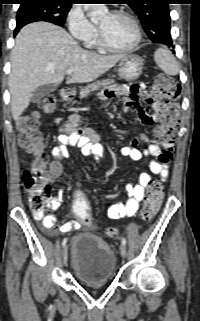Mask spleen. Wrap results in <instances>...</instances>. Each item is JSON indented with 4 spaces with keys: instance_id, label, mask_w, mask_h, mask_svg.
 Instances as JSON below:
<instances>
[{
    "instance_id": "spleen-1",
    "label": "spleen",
    "mask_w": 200,
    "mask_h": 321,
    "mask_svg": "<svg viewBox=\"0 0 200 321\" xmlns=\"http://www.w3.org/2000/svg\"><path fill=\"white\" fill-rule=\"evenodd\" d=\"M154 59L158 67L164 71L167 75L175 76L178 74L179 66L172 55V53L166 48H159L154 54Z\"/></svg>"
}]
</instances>
